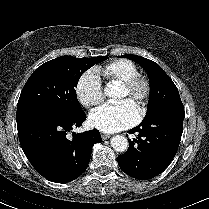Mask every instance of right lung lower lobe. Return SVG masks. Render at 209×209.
Instances as JSON below:
<instances>
[{
	"label": "right lung lower lobe",
	"instance_id": "98d812e1",
	"mask_svg": "<svg viewBox=\"0 0 209 209\" xmlns=\"http://www.w3.org/2000/svg\"><path fill=\"white\" fill-rule=\"evenodd\" d=\"M86 120L83 110L48 113L33 117L17 126L21 147L35 170L56 183L75 180L87 168L92 147L102 141L97 129L72 133Z\"/></svg>",
	"mask_w": 209,
	"mask_h": 209
}]
</instances>
